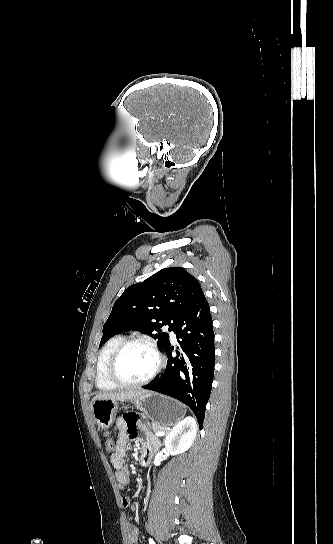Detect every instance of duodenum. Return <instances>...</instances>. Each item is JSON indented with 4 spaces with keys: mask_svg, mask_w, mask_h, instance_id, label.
<instances>
[{
    "mask_svg": "<svg viewBox=\"0 0 333 544\" xmlns=\"http://www.w3.org/2000/svg\"><path fill=\"white\" fill-rule=\"evenodd\" d=\"M149 462V456L147 454H142L141 455V459H140V463L142 466H146Z\"/></svg>",
    "mask_w": 333,
    "mask_h": 544,
    "instance_id": "410a0bca",
    "label": "duodenum"
}]
</instances>
